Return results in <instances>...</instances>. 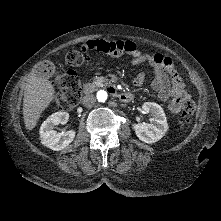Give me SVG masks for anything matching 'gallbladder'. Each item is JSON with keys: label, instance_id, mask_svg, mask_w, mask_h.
Segmentation results:
<instances>
[{"label": "gallbladder", "instance_id": "obj_1", "mask_svg": "<svg viewBox=\"0 0 221 221\" xmlns=\"http://www.w3.org/2000/svg\"><path fill=\"white\" fill-rule=\"evenodd\" d=\"M50 66L47 68L41 67L38 71L35 72V75L41 79H49L53 77L55 72V67L52 63H49Z\"/></svg>", "mask_w": 221, "mask_h": 221}]
</instances>
